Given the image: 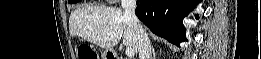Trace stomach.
I'll return each instance as SVG.
<instances>
[{
	"mask_svg": "<svg viewBox=\"0 0 261 59\" xmlns=\"http://www.w3.org/2000/svg\"><path fill=\"white\" fill-rule=\"evenodd\" d=\"M113 55L109 51H104L103 54L101 55L102 59H107V58H112Z\"/></svg>",
	"mask_w": 261,
	"mask_h": 59,
	"instance_id": "stomach-1",
	"label": "stomach"
}]
</instances>
